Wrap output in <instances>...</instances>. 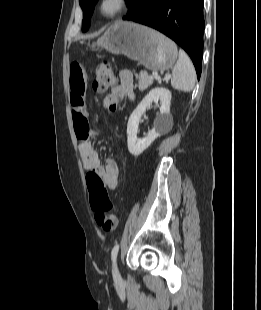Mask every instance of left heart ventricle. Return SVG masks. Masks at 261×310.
<instances>
[{"label": "left heart ventricle", "mask_w": 261, "mask_h": 310, "mask_svg": "<svg viewBox=\"0 0 261 310\" xmlns=\"http://www.w3.org/2000/svg\"><path fill=\"white\" fill-rule=\"evenodd\" d=\"M110 7H111L110 5L107 6V8H110Z\"/></svg>", "instance_id": "b2bd125f"}]
</instances>
